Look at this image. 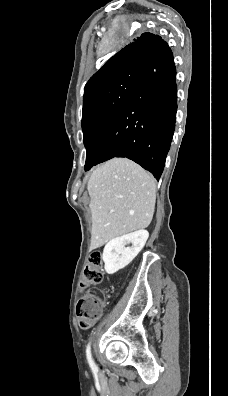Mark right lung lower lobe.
Here are the masks:
<instances>
[{"label":"right lung lower lobe","instance_id":"1","mask_svg":"<svg viewBox=\"0 0 228 396\" xmlns=\"http://www.w3.org/2000/svg\"><path fill=\"white\" fill-rule=\"evenodd\" d=\"M176 69L167 43L146 58L142 74L116 116L94 166L129 158L159 180L175 129Z\"/></svg>","mask_w":228,"mask_h":396}]
</instances>
